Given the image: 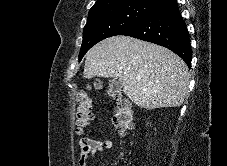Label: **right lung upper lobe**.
<instances>
[{
    "mask_svg": "<svg viewBox=\"0 0 227 166\" xmlns=\"http://www.w3.org/2000/svg\"><path fill=\"white\" fill-rule=\"evenodd\" d=\"M165 1L166 0H97L94 6L90 9V11L123 3H141L157 7Z\"/></svg>",
    "mask_w": 227,
    "mask_h": 166,
    "instance_id": "obj_1",
    "label": "right lung upper lobe"
}]
</instances>
